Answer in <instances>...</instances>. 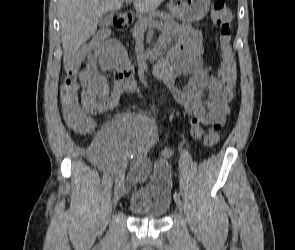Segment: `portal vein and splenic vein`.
Here are the masks:
<instances>
[{"mask_svg":"<svg viewBox=\"0 0 295 250\" xmlns=\"http://www.w3.org/2000/svg\"><path fill=\"white\" fill-rule=\"evenodd\" d=\"M132 1L133 0H126V2H128V3H131ZM143 26L145 28H147V27H159L160 26V23L158 21H152V22H150L148 24H144Z\"/></svg>","mask_w":295,"mask_h":250,"instance_id":"obj_1","label":"portal vein and splenic vein"}]
</instances>
